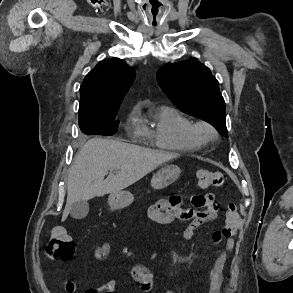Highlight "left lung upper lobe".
<instances>
[{
	"instance_id": "left-lung-upper-lobe-1",
	"label": "left lung upper lobe",
	"mask_w": 293,
	"mask_h": 293,
	"mask_svg": "<svg viewBox=\"0 0 293 293\" xmlns=\"http://www.w3.org/2000/svg\"><path fill=\"white\" fill-rule=\"evenodd\" d=\"M159 86L181 111L211 123L228 137L219 83L196 58L167 63L157 72Z\"/></svg>"
}]
</instances>
